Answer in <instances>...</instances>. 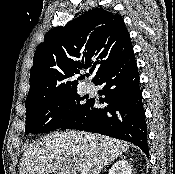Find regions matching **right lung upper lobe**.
I'll use <instances>...</instances> for the list:
<instances>
[{
    "label": "right lung upper lobe",
    "mask_w": 175,
    "mask_h": 174,
    "mask_svg": "<svg viewBox=\"0 0 175 174\" xmlns=\"http://www.w3.org/2000/svg\"><path fill=\"white\" fill-rule=\"evenodd\" d=\"M133 52L123 18L103 8L90 10L46 35L34 55L28 105L54 93L77 88L73 77L92 67V82Z\"/></svg>",
    "instance_id": "obj_1"
}]
</instances>
